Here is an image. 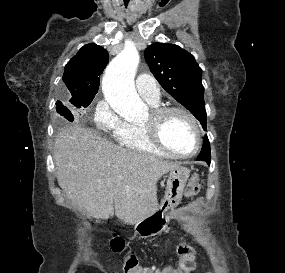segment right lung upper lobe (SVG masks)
Returning a JSON list of instances; mask_svg holds the SVG:
<instances>
[{"mask_svg": "<svg viewBox=\"0 0 285 273\" xmlns=\"http://www.w3.org/2000/svg\"><path fill=\"white\" fill-rule=\"evenodd\" d=\"M108 63V52L96 44L84 45L66 64L63 81L70 101L92 100L98 92L100 75Z\"/></svg>", "mask_w": 285, "mask_h": 273, "instance_id": "obj_1", "label": "right lung upper lobe"}]
</instances>
